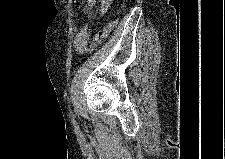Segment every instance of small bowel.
Returning a JSON list of instances; mask_svg holds the SVG:
<instances>
[{"label": "small bowel", "instance_id": "obj_1", "mask_svg": "<svg viewBox=\"0 0 225 159\" xmlns=\"http://www.w3.org/2000/svg\"><path fill=\"white\" fill-rule=\"evenodd\" d=\"M113 0H102L100 3L99 12L100 14L104 15L108 12L112 5ZM96 6L95 0H88L86 3V13H87V22L91 21L94 10ZM90 38V31L88 30L87 26H84L77 30L73 46L76 52L82 53L87 49L88 42Z\"/></svg>", "mask_w": 225, "mask_h": 159}]
</instances>
